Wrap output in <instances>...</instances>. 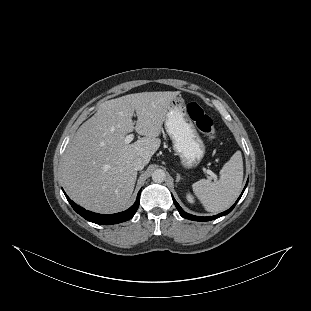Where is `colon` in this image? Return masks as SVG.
<instances>
[{"mask_svg":"<svg viewBox=\"0 0 311 311\" xmlns=\"http://www.w3.org/2000/svg\"><path fill=\"white\" fill-rule=\"evenodd\" d=\"M186 110L196 128L208 139L214 140L216 138V132L213 120L206 113L204 108L197 102H189L186 106Z\"/></svg>","mask_w":311,"mask_h":311,"instance_id":"obj_1","label":"colon"}]
</instances>
